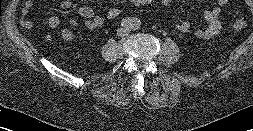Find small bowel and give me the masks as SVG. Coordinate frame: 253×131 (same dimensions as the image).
Here are the masks:
<instances>
[{
	"instance_id": "1",
	"label": "small bowel",
	"mask_w": 253,
	"mask_h": 131,
	"mask_svg": "<svg viewBox=\"0 0 253 131\" xmlns=\"http://www.w3.org/2000/svg\"><path fill=\"white\" fill-rule=\"evenodd\" d=\"M163 5L169 6L172 0H161ZM230 0H217V5L207 10L203 14L204 26L202 28H194L188 20H181L173 24L174 28L178 31L186 34L193 35L201 39H210L219 34L221 30L220 14L222 7L226 6ZM33 6V1L28 0L22 10V16L20 23L23 28L30 30L33 27V23L29 18V12ZM62 10H69L72 8L71 0H63L60 3ZM78 15L83 21L84 26L89 30H94L101 27L105 22L104 15L96 13L90 6L83 5L78 9ZM47 24L50 28L56 29L60 25V19L57 16H50L47 20ZM70 25L74 28L79 26V20L72 18ZM61 37L66 41L74 39L75 35L69 28L61 30ZM51 34L47 33L44 35L46 41L51 40Z\"/></svg>"
}]
</instances>
